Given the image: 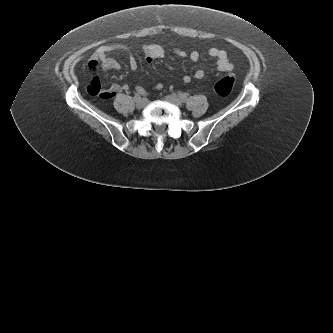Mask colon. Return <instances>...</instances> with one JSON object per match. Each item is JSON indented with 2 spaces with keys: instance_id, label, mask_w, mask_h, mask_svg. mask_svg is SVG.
I'll return each instance as SVG.
<instances>
[{
  "instance_id": "obj_1",
  "label": "colon",
  "mask_w": 333,
  "mask_h": 333,
  "mask_svg": "<svg viewBox=\"0 0 333 333\" xmlns=\"http://www.w3.org/2000/svg\"><path fill=\"white\" fill-rule=\"evenodd\" d=\"M234 85V77L231 75H227L215 83L214 90L219 96L227 97L233 91Z\"/></svg>"
}]
</instances>
